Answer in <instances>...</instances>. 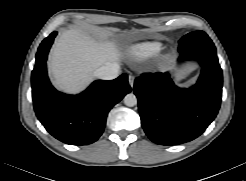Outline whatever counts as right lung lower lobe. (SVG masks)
Masks as SVG:
<instances>
[{"mask_svg":"<svg viewBox=\"0 0 246 181\" xmlns=\"http://www.w3.org/2000/svg\"><path fill=\"white\" fill-rule=\"evenodd\" d=\"M57 32L45 38L38 48L31 75L35 113L56 139L70 145H87L102 134L110 109L131 91L128 76L110 81L98 80L78 95H66L49 82L46 59Z\"/></svg>","mask_w":246,"mask_h":181,"instance_id":"right-lung-lower-lobe-1","label":"right lung lower lobe"}]
</instances>
